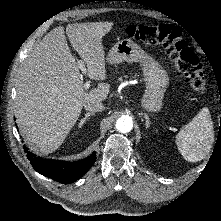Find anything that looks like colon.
<instances>
[{
	"label": "colon",
	"mask_w": 221,
	"mask_h": 221,
	"mask_svg": "<svg viewBox=\"0 0 221 221\" xmlns=\"http://www.w3.org/2000/svg\"><path fill=\"white\" fill-rule=\"evenodd\" d=\"M127 36L147 45H161L178 70L183 74L191 89L197 94L206 90V80L197 55L182 38L181 31L169 24L130 25Z\"/></svg>",
	"instance_id": "colon-1"
}]
</instances>
